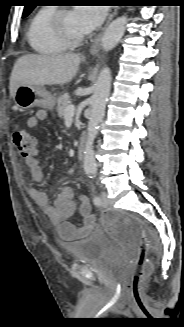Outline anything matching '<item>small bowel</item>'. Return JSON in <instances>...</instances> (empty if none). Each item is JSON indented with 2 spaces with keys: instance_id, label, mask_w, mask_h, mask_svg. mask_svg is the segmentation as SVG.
Returning <instances> with one entry per match:
<instances>
[{
  "instance_id": "obj_1",
  "label": "small bowel",
  "mask_w": 184,
  "mask_h": 327,
  "mask_svg": "<svg viewBox=\"0 0 184 327\" xmlns=\"http://www.w3.org/2000/svg\"><path fill=\"white\" fill-rule=\"evenodd\" d=\"M47 115L45 110H39L26 121L28 128H35L38 123ZM36 150L26 159V165L34 181L41 183L44 181V172L39 164ZM31 196L36 204L44 211L50 220L57 226L59 235L66 240H72L87 235L95 225V219L91 211V204L88 197L83 194L79 199L78 213L82 221L78 224L72 223L69 219L76 210V203L73 199V192L70 188H65L59 193L51 203L46 192L40 189H31Z\"/></svg>"
}]
</instances>
